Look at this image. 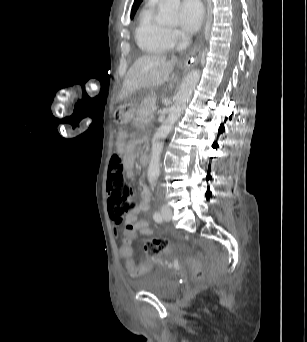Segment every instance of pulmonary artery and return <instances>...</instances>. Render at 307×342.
I'll return each mask as SVG.
<instances>
[{
    "mask_svg": "<svg viewBox=\"0 0 307 342\" xmlns=\"http://www.w3.org/2000/svg\"><path fill=\"white\" fill-rule=\"evenodd\" d=\"M151 4V7L146 11V14H149L150 12L153 11L154 6L157 4L159 1H149Z\"/></svg>",
    "mask_w": 307,
    "mask_h": 342,
    "instance_id": "1",
    "label": "pulmonary artery"
}]
</instances>
